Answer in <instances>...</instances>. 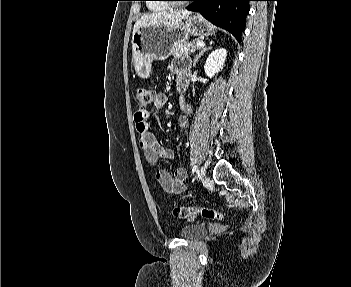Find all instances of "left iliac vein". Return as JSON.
<instances>
[{
    "instance_id": "4c4485c4",
    "label": "left iliac vein",
    "mask_w": 351,
    "mask_h": 287,
    "mask_svg": "<svg viewBox=\"0 0 351 287\" xmlns=\"http://www.w3.org/2000/svg\"><path fill=\"white\" fill-rule=\"evenodd\" d=\"M199 177H200L201 179H204V178H205V170H204L203 168H201L200 171H199Z\"/></svg>"
}]
</instances>
